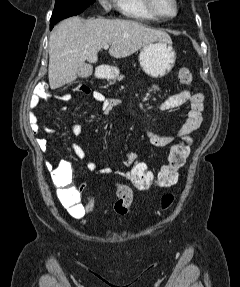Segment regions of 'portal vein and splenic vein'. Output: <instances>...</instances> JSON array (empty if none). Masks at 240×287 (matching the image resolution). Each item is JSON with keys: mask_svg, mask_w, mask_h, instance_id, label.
Listing matches in <instances>:
<instances>
[{"mask_svg": "<svg viewBox=\"0 0 240 287\" xmlns=\"http://www.w3.org/2000/svg\"><path fill=\"white\" fill-rule=\"evenodd\" d=\"M109 48V45L108 44H105L104 45V49H108Z\"/></svg>", "mask_w": 240, "mask_h": 287, "instance_id": "portal-vein-and-splenic-vein-1", "label": "portal vein and splenic vein"}]
</instances>
